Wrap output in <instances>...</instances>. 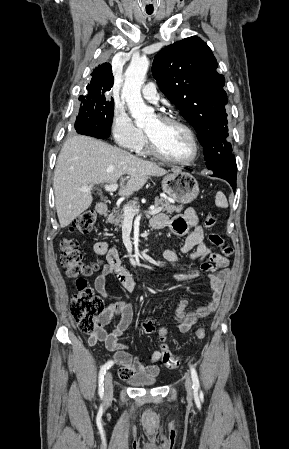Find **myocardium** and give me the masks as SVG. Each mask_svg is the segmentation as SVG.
I'll return each instance as SVG.
<instances>
[{"label":"myocardium","instance_id":"obj_1","mask_svg":"<svg viewBox=\"0 0 289 449\" xmlns=\"http://www.w3.org/2000/svg\"><path fill=\"white\" fill-rule=\"evenodd\" d=\"M158 119L164 123H170V124L177 125L187 132V134L189 135L191 142L193 144V155L187 160H178V159H173L171 157H168L158 148L157 144L152 139V137L145 131L146 142H147V147H148L149 152L152 155H154L155 157H157L158 159L168 162V163L184 165V166L193 164L198 159L199 154H200L199 142H198L197 136H196L195 132L193 131V129L186 122H184L183 120H181L177 117H174L172 115L161 114L158 116Z\"/></svg>","mask_w":289,"mask_h":449}]
</instances>
